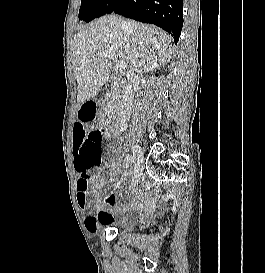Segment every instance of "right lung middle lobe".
<instances>
[{
  "label": "right lung middle lobe",
  "mask_w": 265,
  "mask_h": 273,
  "mask_svg": "<svg viewBox=\"0 0 265 273\" xmlns=\"http://www.w3.org/2000/svg\"><path fill=\"white\" fill-rule=\"evenodd\" d=\"M118 0H81L79 20L90 22L102 15L109 14Z\"/></svg>",
  "instance_id": "dd1d6c3e"
}]
</instances>
